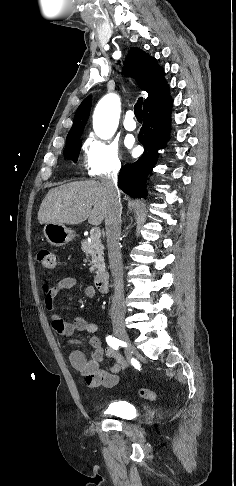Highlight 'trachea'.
<instances>
[{"mask_svg":"<svg viewBox=\"0 0 236 486\" xmlns=\"http://www.w3.org/2000/svg\"><path fill=\"white\" fill-rule=\"evenodd\" d=\"M142 102L143 98L140 97L134 106V113L138 120L142 119Z\"/></svg>","mask_w":236,"mask_h":486,"instance_id":"1","label":"trachea"}]
</instances>
